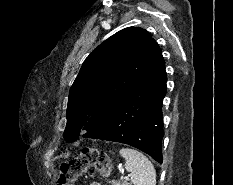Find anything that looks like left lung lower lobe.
<instances>
[{
	"mask_svg": "<svg viewBox=\"0 0 233 185\" xmlns=\"http://www.w3.org/2000/svg\"><path fill=\"white\" fill-rule=\"evenodd\" d=\"M166 82L162 58L128 89L108 118L83 137L125 143L162 163V102L166 94Z\"/></svg>",
	"mask_w": 233,
	"mask_h": 185,
	"instance_id": "obj_1",
	"label": "left lung lower lobe"
}]
</instances>
